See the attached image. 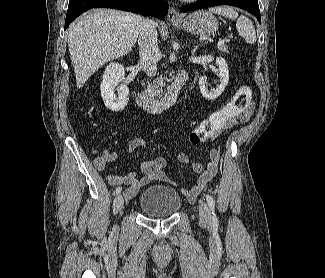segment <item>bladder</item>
<instances>
[{
	"instance_id": "31cf9c89",
	"label": "bladder",
	"mask_w": 325,
	"mask_h": 278,
	"mask_svg": "<svg viewBox=\"0 0 325 278\" xmlns=\"http://www.w3.org/2000/svg\"><path fill=\"white\" fill-rule=\"evenodd\" d=\"M181 196L174 188L151 185L145 188L139 199V208L150 217H169L181 208Z\"/></svg>"
}]
</instances>
